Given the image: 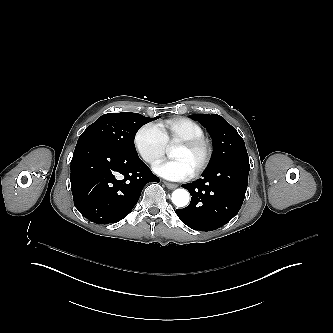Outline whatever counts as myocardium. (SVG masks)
<instances>
[{
	"label": "myocardium",
	"mask_w": 333,
	"mask_h": 333,
	"mask_svg": "<svg viewBox=\"0 0 333 333\" xmlns=\"http://www.w3.org/2000/svg\"><path fill=\"white\" fill-rule=\"evenodd\" d=\"M182 145L191 151L199 153L200 158L194 170V175H200L207 168L212 158L213 148L210 142L205 138H196L185 140Z\"/></svg>",
	"instance_id": "f54148a6"
}]
</instances>
